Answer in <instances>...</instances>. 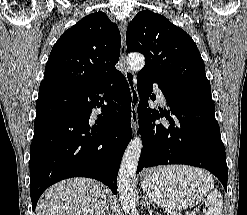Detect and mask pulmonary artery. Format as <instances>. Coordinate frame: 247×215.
<instances>
[{
    "instance_id": "pulmonary-artery-1",
    "label": "pulmonary artery",
    "mask_w": 247,
    "mask_h": 215,
    "mask_svg": "<svg viewBox=\"0 0 247 215\" xmlns=\"http://www.w3.org/2000/svg\"><path fill=\"white\" fill-rule=\"evenodd\" d=\"M154 91H155V93L157 94L159 100H160L162 103H165L166 100H165V97H164V95H163L162 90H161L158 86H155V87H154Z\"/></svg>"
}]
</instances>
